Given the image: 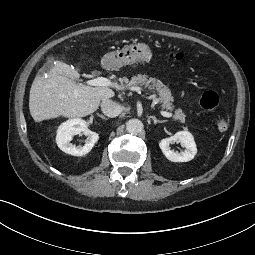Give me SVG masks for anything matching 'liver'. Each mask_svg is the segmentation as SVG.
I'll use <instances>...</instances> for the list:
<instances>
[{"mask_svg":"<svg viewBox=\"0 0 255 255\" xmlns=\"http://www.w3.org/2000/svg\"><path fill=\"white\" fill-rule=\"evenodd\" d=\"M68 64L55 61L46 74H38L31 86L29 110L35 122L57 118H79L95 112L101 100L115 93L108 87H91Z\"/></svg>","mask_w":255,"mask_h":255,"instance_id":"obj_1","label":"liver"}]
</instances>
